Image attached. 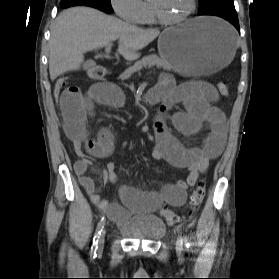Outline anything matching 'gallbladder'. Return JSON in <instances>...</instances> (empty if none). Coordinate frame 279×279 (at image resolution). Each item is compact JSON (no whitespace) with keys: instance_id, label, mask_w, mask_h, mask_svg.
Instances as JSON below:
<instances>
[{"instance_id":"bac80fb5","label":"gallbladder","mask_w":279,"mask_h":279,"mask_svg":"<svg viewBox=\"0 0 279 279\" xmlns=\"http://www.w3.org/2000/svg\"><path fill=\"white\" fill-rule=\"evenodd\" d=\"M83 68H84V69H87V68H88V65H87V64H84V65H83Z\"/></svg>"}]
</instances>
